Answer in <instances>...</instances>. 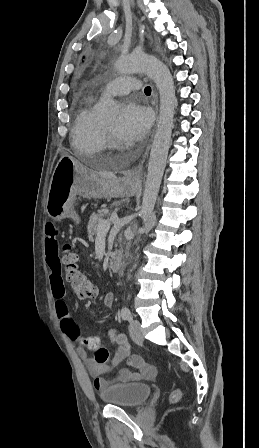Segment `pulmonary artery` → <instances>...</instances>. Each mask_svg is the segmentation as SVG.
<instances>
[{
	"label": "pulmonary artery",
	"mask_w": 259,
	"mask_h": 448,
	"mask_svg": "<svg viewBox=\"0 0 259 448\" xmlns=\"http://www.w3.org/2000/svg\"><path fill=\"white\" fill-rule=\"evenodd\" d=\"M122 75L114 78L109 83H107L102 89V95H122L130 92L129 89L119 86V82L126 78L127 74L135 73L138 70L135 67L129 65H121L120 67Z\"/></svg>",
	"instance_id": "e3ab8cb5"
}]
</instances>
